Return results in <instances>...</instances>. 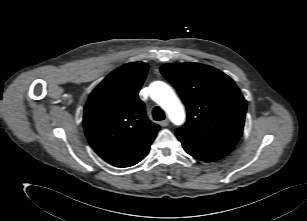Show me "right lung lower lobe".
<instances>
[{
  "label": "right lung lower lobe",
  "instance_id": "1",
  "mask_svg": "<svg viewBox=\"0 0 307 221\" xmlns=\"http://www.w3.org/2000/svg\"><path fill=\"white\" fill-rule=\"evenodd\" d=\"M148 151H149V150H148ZM148 151H147L143 156H141L136 162H134L133 164H131L130 166L135 165L136 163L140 162V161L148 154Z\"/></svg>",
  "mask_w": 307,
  "mask_h": 221
}]
</instances>
